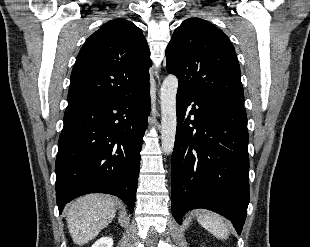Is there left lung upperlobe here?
<instances>
[{"label":"left lung upper lobe","mask_w":310,"mask_h":247,"mask_svg":"<svg viewBox=\"0 0 310 247\" xmlns=\"http://www.w3.org/2000/svg\"><path fill=\"white\" fill-rule=\"evenodd\" d=\"M166 68L179 89L243 107L244 93L235 49L210 22L188 18L174 31L166 49Z\"/></svg>","instance_id":"1"}]
</instances>
